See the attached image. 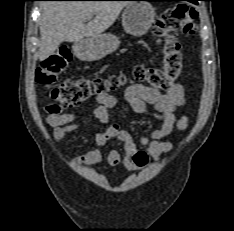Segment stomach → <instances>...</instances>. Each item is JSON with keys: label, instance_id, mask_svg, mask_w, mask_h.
I'll return each instance as SVG.
<instances>
[{"label": "stomach", "instance_id": "0dacf381", "mask_svg": "<svg viewBox=\"0 0 234 231\" xmlns=\"http://www.w3.org/2000/svg\"><path fill=\"white\" fill-rule=\"evenodd\" d=\"M155 15V9L149 2L134 0L123 11L122 25L127 33L141 37L151 28ZM119 45L117 36L106 33L77 41L73 49L79 59L91 62L113 53Z\"/></svg>", "mask_w": 234, "mask_h": 231}]
</instances>
